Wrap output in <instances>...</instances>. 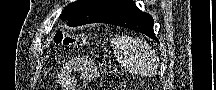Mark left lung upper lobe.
Segmentation results:
<instances>
[{
  "mask_svg": "<svg viewBox=\"0 0 216 90\" xmlns=\"http://www.w3.org/2000/svg\"><path fill=\"white\" fill-rule=\"evenodd\" d=\"M128 2L127 0H77L63 10L60 18L68 20L67 25L72 27L94 23Z\"/></svg>",
  "mask_w": 216,
  "mask_h": 90,
  "instance_id": "5c2ea615",
  "label": "left lung upper lobe"
}]
</instances>
